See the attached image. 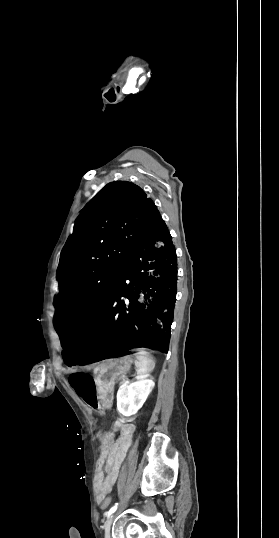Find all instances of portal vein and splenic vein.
<instances>
[{
	"instance_id": "obj_1",
	"label": "portal vein and splenic vein",
	"mask_w": 279,
	"mask_h": 538,
	"mask_svg": "<svg viewBox=\"0 0 279 538\" xmlns=\"http://www.w3.org/2000/svg\"><path fill=\"white\" fill-rule=\"evenodd\" d=\"M126 383H129V377H125Z\"/></svg>"
}]
</instances>
